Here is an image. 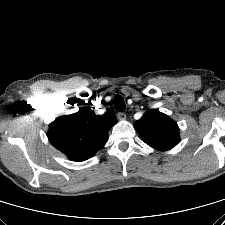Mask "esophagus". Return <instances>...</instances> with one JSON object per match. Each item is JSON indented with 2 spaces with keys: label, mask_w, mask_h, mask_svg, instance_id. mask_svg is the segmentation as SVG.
<instances>
[{
  "label": "esophagus",
  "mask_w": 225,
  "mask_h": 225,
  "mask_svg": "<svg viewBox=\"0 0 225 225\" xmlns=\"http://www.w3.org/2000/svg\"><path fill=\"white\" fill-rule=\"evenodd\" d=\"M117 117L121 121H124L127 118V116H126V114L124 112H118Z\"/></svg>",
  "instance_id": "obj_1"
}]
</instances>
